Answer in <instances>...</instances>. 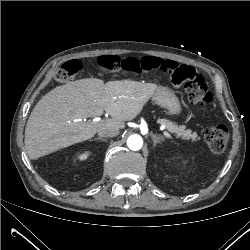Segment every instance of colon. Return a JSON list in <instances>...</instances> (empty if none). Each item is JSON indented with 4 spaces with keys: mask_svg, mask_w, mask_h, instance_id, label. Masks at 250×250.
Segmentation results:
<instances>
[{
    "mask_svg": "<svg viewBox=\"0 0 250 250\" xmlns=\"http://www.w3.org/2000/svg\"><path fill=\"white\" fill-rule=\"evenodd\" d=\"M99 68L107 73L117 74L125 72H152L156 70L172 72V82L175 85H183L188 101L199 107H206L213 101V96L208 90L204 76L191 66H177L170 70L168 62L156 61L150 58H119L116 56H104L98 59ZM79 60H70L61 65L56 71L55 78L59 82H69L81 69ZM205 140L214 153L225 150L228 142V129L224 125L209 127L205 131Z\"/></svg>",
    "mask_w": 250,
    "mask_h": 250,
    "instance_id": "colon-1",
    "label": "colon"
}]
</instances>
